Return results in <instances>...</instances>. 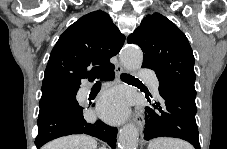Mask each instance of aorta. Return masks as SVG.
Listing matches in <instances>:
<instances>
[{
    "label": "aorta",
    "instance_id": "obj_1",
    "mask_svg": "<svg viewBox=\"0 0 227 149\" xmlns=\"http://www.w3.org/2000/svg\"><path fill=\"white\" fill-rule=\"evenodd\" d=\"M122 64L128 69H138L143 63V53L140 48L127 46L120 54ZM139 134L133 124L125 125L119 133V149H137Z\"/></svg>",
    "mask_w": 227,
    "mask_h": 149
}]
</instances>
